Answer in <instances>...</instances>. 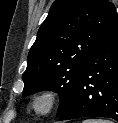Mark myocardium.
Segmentation results:
<instances>
[{
    "mask_svg": "<svg viewBox=\"0 0 118 123\" xmlns=\"http://www.w3.org/2000/svg\"><path fill=\"white\" fill-rule=\"evenodd\" d=\"M59 102L58 91L51 87L38 90L30 100V110L38 117H46L54 112Z\"/></svg>",
    "mask_w": 118,
    "mask_h": 123,
    "instance_id": "myocardium-1",
    "label": "myocardium"
}]
</instances>
